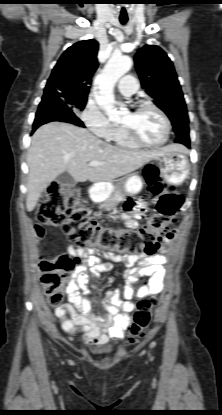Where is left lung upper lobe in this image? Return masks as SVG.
<instances>
[{"instance_id":"1","label":"left lung upper lobe","mask_w":222,"mask_h":415,"mask_svg":"<svg viewBox=\"0 0 222 415\" xmlns=\"http://www.w3.org/2000/svg\"><path fill=\"white\" fill-rule=\"evenodd\" d=\"M135 66L142 88L156 100L172 122L177 135L189 134V118L174 65L156 45H145L135 54Z\"/></svg>"}]
</instances>
